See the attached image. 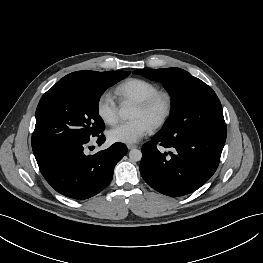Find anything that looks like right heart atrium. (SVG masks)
<instances>
[{
    "instance_id": "right-heart-atrium-1",
    "label": "right heart atrium",
    "mask_w": 263,
    "mask_h": 263,
    "mask_svg": "<svg viewBox=\"0 0 263 263\" xmlns=\"http://www.w3.org/2000/svg\"><path fill=\"white\" fill-rule=\"evenodd\" d=\"M96 110L100 119L106 124L112 125L118 120L119 107L109 92L100 95L96 103Z\"/></svg>"
}]
</instances>
